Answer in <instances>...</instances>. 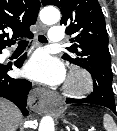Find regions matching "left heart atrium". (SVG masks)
Returning a JSON list of instances; mask_svg holds the SVG:
<instances>
[{
    "mask_svg": "<svg viewBox=\"0 0 117 131\" xmlns=\"http://www.w3.org/2000/svg\"><path fill=\"white\" fill-rule=\"evenodd\" d=\"M24 74L36 81L56 85L65 78L63 65L44 51H38L27 62Z\"/></svg>",
    "mask_w": 117,
    "mask_h": 131,
    "instance_id": "left-heart-atrium-1",
    "label": "left heart atrium"
}]
</instances>
